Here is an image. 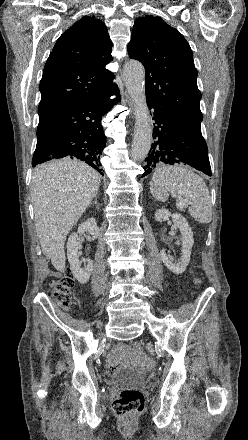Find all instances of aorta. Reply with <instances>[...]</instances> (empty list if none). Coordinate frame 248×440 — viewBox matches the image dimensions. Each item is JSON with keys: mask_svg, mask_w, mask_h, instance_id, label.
<instances>
[{"mask_svg": "<svg viewBox=\"0 0 248 440\" xmlns=\"http://www.w3.org/2000/svg\"><path fill=\"white\" fill-rule=\"evenodd\" d=\"M123 79L135 108V130L131 157L134 161H143L152 144V126L146 102L143 65L135 60L129 61L125 65Z\"/></svg>", "mask_w": 248, "mask_h": 440, "instance_id": "obj_1", "label": "aorta"}]
</instances>
